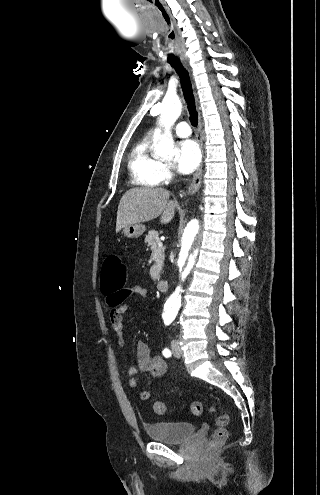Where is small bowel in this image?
<instances>
[{
	"label": "small bowel",
	"instance_id": "small-bowel-1",
	"mask_svg": "<svg viewBox=\"0 0 320 495\" xmlns=\"http://www.w3.org/2000/svg\"><path fill=\"white\" fill-rule=\"evenodd\" d=\"M125 295L124 300L118 301V297ZM106 295V303L110 309V320L114 331L118 337V345L122 348L125 344L123 336V317L124 314L130 309L129 303L125 300L131 296H137L144 298L147 295V289L137 284H129L124 286L121 291L110 292ZM136 348V366H131L127 370V374L131 377L129 379V387L137 388L138 380L133 376L138 372L148 373L152 377L158 378L163 376L167 371L166 361L159 355H151L148 344L142 340H137L135 344ZM143 390L139 391V396L142 398Z\"/></svg>",
	"mask_w": 320,
	"mask_h": 495
}]
</instances>
